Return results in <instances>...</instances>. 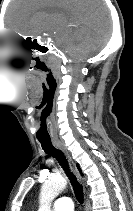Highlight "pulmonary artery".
I'll use <instances>...</instances> for the list:
<instances>
[{"label":"pulmonary artery","instance_id":"obj_1","mask_svg":"<svg viewBox=\"0 0 133 211\" xmlns=\"http://www.w3.org/2000/svg\"><path fill=\"white\" fill-rule=\"evenodd\" d=\"M53 211H73L74 205L69 197H60L52 205Z\"/></svg>","mask_w":133,"mask_h":211}]
</instances>
